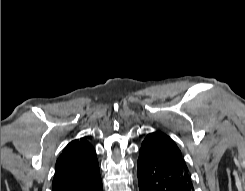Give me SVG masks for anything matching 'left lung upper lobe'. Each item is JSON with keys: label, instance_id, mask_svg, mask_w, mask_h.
I'll return each instance as SVG.
<instances>
[{"label": "left lung upper lobe", "instance_id": "left-lung-upper-lobe-1", "mask_svg": "<svg viewBox=\"0 0 245 191\" xmlns=\"http://www.w3.org/2000/svg\"><path fill=\"white\" fill-rule=\"evenodd\" d=\"M141 149L189 173L180 149L166 134L159 131L150 133L143 141Z\"/></svg>", "mask_w": 245, "mask_h": 191}]
</instances>
